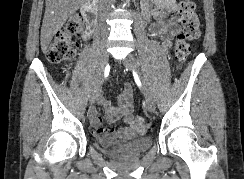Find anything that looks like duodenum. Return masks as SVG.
<instances>
[{"instance_id": "1", "label": "duodenum", "mask_w": 244, "mask_h": 179, "mask_svg": "<svg viewBox=\"0 0 244 179\" xmlns=\"http://www.w3.org/2000/svg\"><path fill=\"white\" fill-rule=\"evenodd\" d=\"M97 13V1L96 0H86L81 8V15L86 20L89 28L90 34L93 35L95 29V16Z\"/></svg>"}]
</instances>
